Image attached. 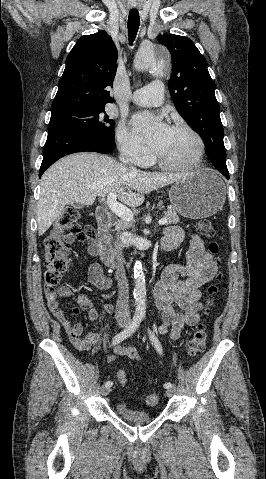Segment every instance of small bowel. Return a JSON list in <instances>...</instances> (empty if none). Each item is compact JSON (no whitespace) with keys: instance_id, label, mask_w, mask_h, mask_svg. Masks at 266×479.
<instances>
[{"instance_id":"small-bowel-1","label":"small bowel","mask_w":266,"mask_h":479,"mask_svg":"<svg viewBox=\"0 0 266 479\" xmlns=\"http://www.w3.org/2000/svg\"><path fill=\"white\" fill-rule=\"evenodd\" d=\"M64 238L67 242L74 241L71 235H66ZM184 239L185 236L180 227L169 226L162 238V247L166 250L177 249ZM216 272V263L206 250L203 241L199 236L192 235L186 263L167 266L154 287L155 306L161 316L160 334L170 332L171 339L176 340L186 327L198 324L202 309L201 287L212 281ZM89 280L100 290H108L112 286L111 278L103 273L102 267L98 263L90 265ZM71 294L72 287L70 285H63L53 291L45 290L48 307L67 332L72 344L80 351L98 349L102 346L110 347V342L103 339L100 334L93 332L83 334V325L72 322L67 317L61 300L70 297ZM82 310H88L87 318L92 322L112 315L114 307L111 304H106L97 308L93 305L92 299L82 293L73 308V313L78 314ZM112 346H114V354L108 356L109 360L120 356L139 361L142 357V354L131 346L113 345V343Z\"/></svg>"}]
</instances>
